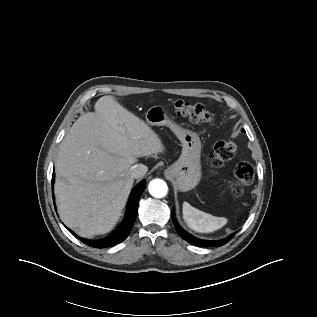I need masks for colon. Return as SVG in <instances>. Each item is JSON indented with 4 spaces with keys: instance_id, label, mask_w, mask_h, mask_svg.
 <instances>
[{
    "instance_id": "5ec220e1",
    "label": "colon",
    "mask_w": 317,
    "mask_h": 317,
    "mask_svg": "<svg viewBox=\"0 0 317 317\" xmlns=\"http://www.w3.org/2000/svg\"><path fill=\"white\" fill-rule=\"evenodd\" d=\"M174 111L179 116L188 117L197 123H212L213 115L199 103H190L178 100L174 104ZM236 153V145L233 141L223 140L218 142L210 155L209 162L212 168H219L225 162L230 161ZM254 180V170L247 162H239L234 170V179L229 184L230 194L240 196L245 186Z\"/></svg>"
}]
</instances>
